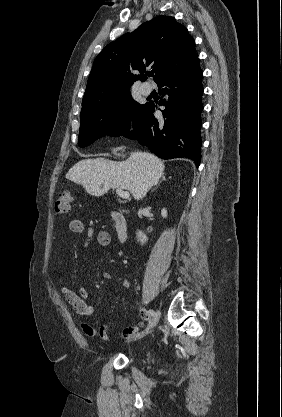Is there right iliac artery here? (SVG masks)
Instances as JSON below:
<instances>
[{"label":"right iliac artery","instance_id":"obj_1","mask_svg":"<svg viewBox=\"0 0 282 417\" xmlns=\"http://www.w3.org/2000/svg\"><path fill=\"white\" fill-rule=\"evenodd\" d=\"M147 313H148L149 316H154V314H155L154 310H152V309L148 310Z\"/></svg>","mask_w":282,"mask_h":417}]
</instances>
